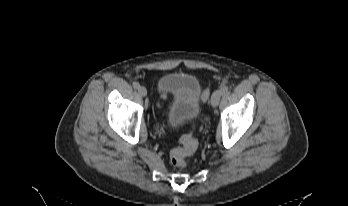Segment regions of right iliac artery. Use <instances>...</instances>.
Returning <instances> with one entry per match:
<instances>
[{"label": "right iliac artery", "mask_w": 348, "mask_h": 206, "mask_svg": "<svg viewBox=\"0 0 348 206\" xmlns=\"http://www.w3.org/2000/svg\"><path fill=\"white\" fill-rule=\"evenodd\" d=\"M133 87L135 89H138L140 87V84L137 81H135V82H133Z\"/></svg>", "instance_id": "1"}]
</instances>
